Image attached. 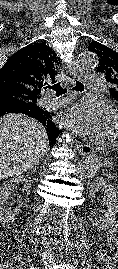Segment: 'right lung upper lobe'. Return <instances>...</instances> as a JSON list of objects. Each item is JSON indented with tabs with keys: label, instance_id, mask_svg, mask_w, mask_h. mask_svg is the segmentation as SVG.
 <instances>
[{
	"label": "right lung upper lobe",
	"instance_id": "obj_1",
	"mask_svg": "<svg viewBox=\"0 0 118 269\" xmlns=\"http://www.w3.org/2000/svg\"><path fill=\"white\" fill-rule=\"evenodd\" d=\"M56 53L44 43L30 44L14 53L0 69V102L19 101L35 108L31 117L42 122L51 140L57 132L53 113L38 105L45 85L55 81Z\"/></svg>",
	"mask_w": 118,
	"mask_h": 269
}]
</instances>
